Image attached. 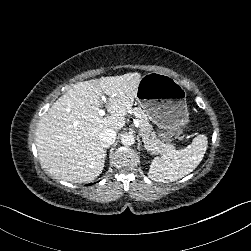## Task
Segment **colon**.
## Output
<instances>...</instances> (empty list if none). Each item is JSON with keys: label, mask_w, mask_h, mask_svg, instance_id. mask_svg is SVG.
<instances>
[{"label": "colon", "mask_w": 251, "mask_h": 251, "mask_svg": "<svg viewBox=\"0 0 251 251\" xmlns=\"http://www.w3.org/2000/svg\"><path fill=\"white\" fill-rule=\"evenodd\" d=\"M188 130V124L163 127L159 130V135L165 141H180L187 136Z\"/></svg>", "instance_id": "obj_1"}]
</instances>
